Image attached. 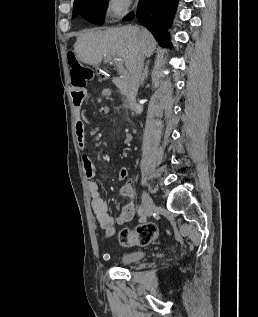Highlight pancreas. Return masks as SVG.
Wrapping results in <instances>:
<instances>
[{"label":"pancreas","mask_w":258,"mask_h":317,"mask_svg":"<svg viewBox=\"0 0 258 317\" xmlns=\"http://www.w3.org/2000/svg\"><path fill=\"white\" fill-rule=\"evenodd\" d=\"M117 80H118L117 84H118L119 88H123L124 85L121 84L120 78H117ZM126 82H127V81H126Z\"/></svg>","instance_id":"1"}]
</instances>
